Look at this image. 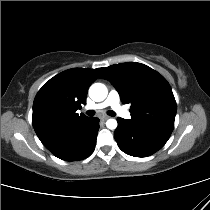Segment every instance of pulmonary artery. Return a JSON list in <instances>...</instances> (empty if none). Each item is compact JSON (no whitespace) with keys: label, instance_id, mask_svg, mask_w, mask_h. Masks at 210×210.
Here are the masks:
<instances>
[{"label":"pulmonary artery","instance_id":"e3ab8cb5","mask_svg":"<svg viewBox=\"0 0 210 210\" xmlns=\"http://www.w3.org/2000/svg\"><path fill=\"white\" fill-rule=\"evenodd\" d=\"M104 107H111L122 118L129 119L131 116L129 111L120 104L119 94L115 90H112L109 93L107 99L103 103L89 106L88 109H102Z\"/></svg>","mask_w":210,"mask_h":210}]
</instances>
